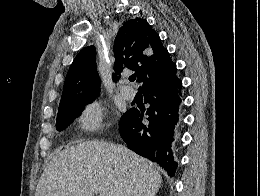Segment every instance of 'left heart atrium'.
<instances>
[{
  "label": "left heart atrium",
  "mask_w": 260,
  "mask_h": 196,
  "mask_svg": "<svg viewBox=\"0 0 260 196\" xmlns=\"http://www.w3.org/2000/svg\"><path fill=\"white\" fill-rule=\"evenodd\" d=\"M122 190H110L109 192H121Z\"/></svg>",
  "instance_id": "39dd6f15"
}]
</instances>
